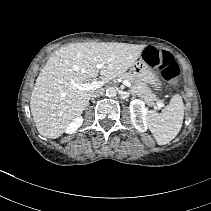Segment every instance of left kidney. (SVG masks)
I'll return each instance as SVG.
<instances>
[{
  "instance_id": "5707ae66",
  "label": "left kidney",
  "mask_w": 211,
  "mask_h": 211,
  "mask_svg": "<svg viewBox=\"0 0 211 211\" xmlns=\"http://www.w3.org/2000/svg\"><path fill=\"white\" fill-rule=\"evenodd\" d=\"M129 109L133 126L137 130L145 132L148 129V109L145 107V103L139 99H134L130 102Z\"/></svg>"
}]
</instances>
